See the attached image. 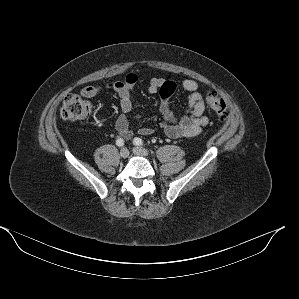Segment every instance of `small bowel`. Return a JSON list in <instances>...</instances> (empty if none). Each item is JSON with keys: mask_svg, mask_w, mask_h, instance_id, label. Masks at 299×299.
Returning <instances> with one entry per match:
<instances>
[{"mask_svg": "<svg viewBox=\"0 0 299 299\" xmlns=\"http://www.w3.org/2000/svg\"><path fill=\"white\" fill-rule=\"evenodd\" d=\"M138 81L135 74H127L123 80L113 81L106 85V88L114 91L120 98V108L122 114L118 116L115 127L118 135L125 140L132 136V130L127 118V114L132 110L131 91ZM99 86L84 87L80 94L84 98H93L101 92ZM183 90L189 92L188 107L186 113L177 116L173 110V95ZM148 91L152 94L160 95V111L162 121L160 127L164 134L170 138L192 137L199 134L208 124L209 118L205 113V102L199 92V84L195 80L187 79L177 84L174 80L162 77H153L149 80ZM139 133L150 135L153 133L151 127H141Z\"/></svg>", "mask_w": 299, "mask_h": 299, "instance_id": "1", "label": "small bowel"}]
</instances>
